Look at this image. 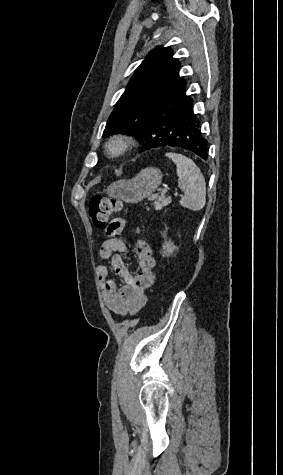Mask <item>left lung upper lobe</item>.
<instances>
[{
	"mask_svg": "<svg viewBox=\"0 0 283 475\" xmlns=\"http://www.w3.org/2000/svg\"><path fill=\"white\" fill-rule=\"evenodd\" d=\"M172 55L169 47H159L140 64L107 121L104 137L141 133L153 108L184 81L178 74L181 64Z\"/></svg>",
	"mask_w": 283,
	"mask_h": 475,
	"instance_id": "5c2ea615",
	"label": "left lung upper lobe"
}]
</instances>
